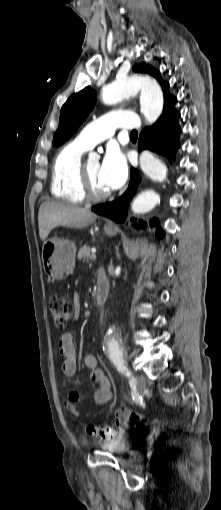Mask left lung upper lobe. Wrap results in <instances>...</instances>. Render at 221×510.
Returning <instances> with one entry per match:
<instances>
[{
    "mask_svg": "<svg viewBox=\"0 0 221 510\" xmlns=\"http://www.w3.org/2000/svg\"><path fill=\"white\" fill-rule=\"evenodd\" d=\"M134 71L148 73L154 76L160 83L164 93L163 113L175 108L176 98L169 93V84L164 82L159 72L144 63L135 65ZM96 102V92L91 87H86L76 94H72L63 105L60 113L59 128L54 134V146H60L78 129L79 125L87 118Z\"/></svg>",
    "mask_w": 221,
    "mask_h": 510,
    "instance_id": "5c2ea615",
    "label": "left lung upper lobe"
}]
</instances>
